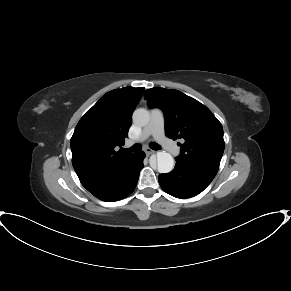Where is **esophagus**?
<instances>
[{"label":"esophagus","mask_w":291,"mask_h":291,"mask_svg":"<svg viewBox=\"0 0 291 291\" xmlns=\"http://www.w3.org/2000/svg\"><path fill=\"white\" fill-rule=\"evenodd\" d=\"M145 153H146L147 156H149V155L153 154L154 151L151 150L150 148H146V149H145Z\"/></svg>","instance_id":"esophagus-1"}]
</instances>
